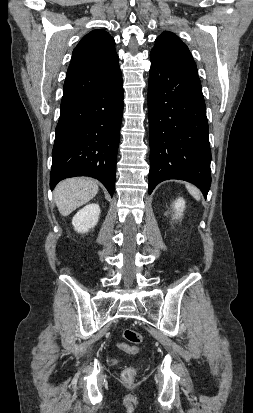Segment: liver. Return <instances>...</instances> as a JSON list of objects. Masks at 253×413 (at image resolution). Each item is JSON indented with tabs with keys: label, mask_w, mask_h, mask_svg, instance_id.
Masks as SVG:
<instances>
[{
	"label": "liver",
	"mask_w": 253,
	"mask_h": 413,
	"mask_svg": "<svg viewBox=\"0 0 253 413\" xmlns=\"http://www.w3.org/2000/svg\"><path fill=\"white\" fill-rule=\"evenodd\" d=\"M98 193L96 181L88 178H70L60 182L54 190V200L62 216H68L89 202Z\"/></svg>",
	"instance_id": "1"
}]
</instances>
